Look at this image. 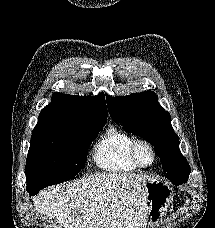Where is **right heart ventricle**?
I'll use <instances>...</instances> for the list:
<instances>
[{"label":"right heart ventricle","instance_id":"e07e8e85","mask_svg":"<svg viewBox=\"0 0 215 228\" xmlns=\"http://www.w3.org/2000/svg\"><path fill=\"white\" fill-rule=\"evenodd\" d=\"M135 140L130 133L111 126L95 143L92 159L100 169L110 173L136 172L138 167L130 158V148Z\"/></svg>","mask_w":215,"mask_h":228}]
</instances>
